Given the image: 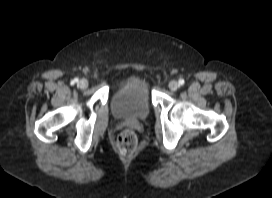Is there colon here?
<instances>
[{"label": "colon", "instance_id": "5ec220e1", "mask_svg": "<svg viewBox=\"0 0 272 198\" xmlns=\"http://www.w3.org/2000/svg\"><path fill=\"white\" fill-rule=\"evenodd\" d=\"M138 139L131 129H125L117 137L116 146L118 152L125 157L133 155L137 149Z\"/></svg>", "mask_w": 272, "mask_h": 198}]
</instances>
